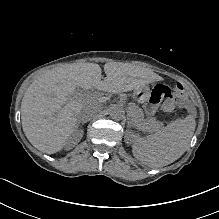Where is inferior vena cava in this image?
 Instances as JSON below:
<instances>
[{
	"mask_svg": "<svg viewBox=\"0 0 219 219\" xmlns=\"http://www.w3.org/2000/svg\"><path fill=\"white\" fill-rule=\"evenodd\" d=\"M94 110L91 107H84L81 110V113L79 115V119L81 120H91L94 117Z\"/></svg>",
	"mask_w": 219,
	"mask_h": 219,
	"instance_id": "inferior-vena-cava-1",
	"label": "inferior vena cava"
}]
</instances>
